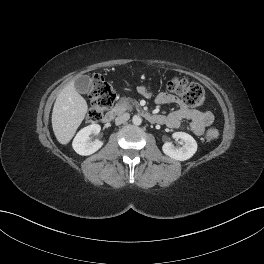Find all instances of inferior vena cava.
I'll return each instance as SVG.
<instances>
[{"label": "inferior vena cava", "instance_id": "inferior-vena-cava-1", "mask_svg": "<svg viewBox=\"0 0 264 264\" xmlns=\"http://www.w3.org/2000/svg\"><path fill=\"white\" fill-rule=\"evenodd\" d=\"M130 118V114L129 113H123L122 115L116 117L115 119V124L116 125H120L122 123H125L126 121H128Z\"/></svg>", "mask_w": 264, "mask_h": 264}]
</instances>
